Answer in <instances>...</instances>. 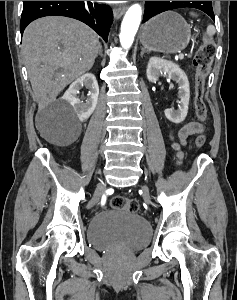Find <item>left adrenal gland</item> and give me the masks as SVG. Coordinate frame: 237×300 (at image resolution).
<instances>
[{
  "label": "left adrenal gland",
  "instance_id": "left-adrenal-gland-1",
  "mask_svg": "<svg viewBox=\"0 0 237 300\" xmlns=\"http://www.w3.org/2000/svg\"><path fill=\"white\" fill-rule=\"evenodd\" d=\"M144 53H145V49H144V47H141L140 57H143Z\"/></svg>",
  "mask_w": 237,
  "mask_h": 300
}]
</instances>
